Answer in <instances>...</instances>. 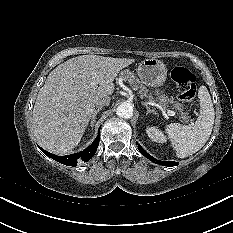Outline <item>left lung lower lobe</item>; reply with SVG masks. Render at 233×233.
Instances as JSON below:
<instances>
[{
    "mask_svg": "<svg viewBox=\"0 0 233 233\" xmlns=\"http://www.w3.org/2000/svg\"><path fill=\"white\" fill-rule=\"evenodd\" d=\"M138 149L141 152V154H143L145 157H147L149 160H151L154 163L160 164V165H164V166H176L178 165L177 162H165V161H159L155 158H153L151 155H149L140 145H138Z\"/></svg>",
    "mask_w": 233,
    "mask_h": 233,
    "instance_id": "left-lung-lower-lobe-1",
    "label": "left lung lower lobe"
}]
</instances>
